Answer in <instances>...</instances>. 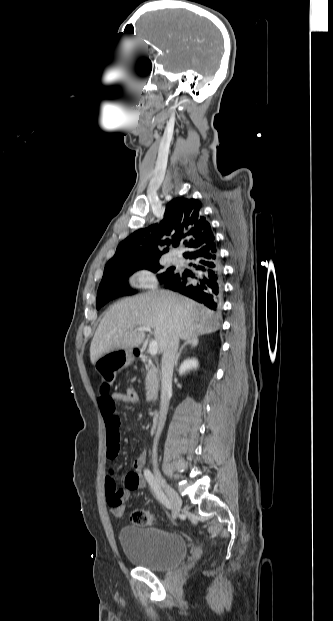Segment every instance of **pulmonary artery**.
<instances>
[{
    "mask_svg": "<svg viewBox=\"0 0 333 621\" xmlns=\"http://www.w3.org/2000/svg\"><path fill=\"white\" fill-rule=\"evenodd\" d=\"M172 262H173V263H180V262H181V260H180L178 257H173V258H172Z\"/></svg>",
    "mask_w": 333,
    "mask_h": 621,
    "instance_id": "e3ab8cb5",
    "label": "pulmonary artery"
}]
</instances>
